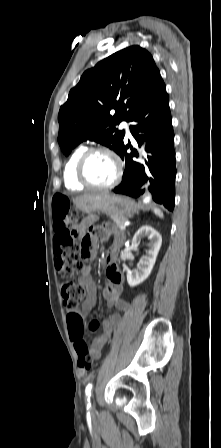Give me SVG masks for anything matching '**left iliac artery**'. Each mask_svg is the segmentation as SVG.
Returning <instances> with one entry per match:
<instances>
[{
  "mask_svg": "<svg viewBox=\"0 0 221 448\" xmlns=\"http://www.w3.org/2000/svg\"><path fill=\"white\" fill-rule=\"evenodd\" d=\"M91 389H92V384H88L86 389H85V393L87 396V409L90 408L91 404H90V395H91Z\"/></svg>",
  "mask_w": 221,
  "mask_h": 448,
  "instance_id": "44dca946",
  "label": "left iliac artery"
}]
</instances>
